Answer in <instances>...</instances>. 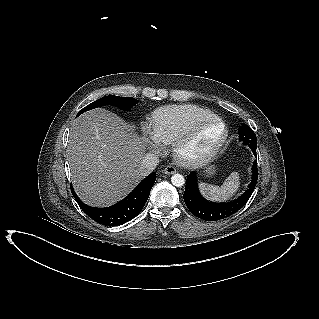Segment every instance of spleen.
Instances as JSON below:
<instances>
[{
	"instance_id": "obj_1",
	"label": "spleen",
	"mask_w": 319,
	"mask_h": 319,
	"mask_svg": "<svg viewBox=\"0 0 319 319\" xmlns=\"http://www.w3.org/2000/svg\"><path fill=\"white\" fill-rule=\"evenodd\" d=\"M239 187L240 176L238 172H232L221 187L207 183L199 184L201 194L212 201H226L230 199L235 195Z\"/></svg>"
}]
</instances>
